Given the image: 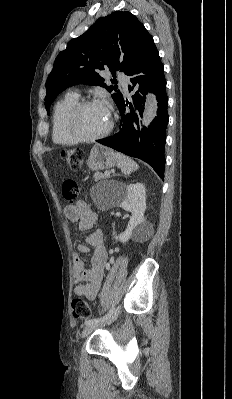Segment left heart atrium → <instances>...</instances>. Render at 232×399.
Instances as JSON below:
<instances>
[{"label": "left heart atrium", "instance_id": "obj_1", "mask_svg": "<svg viewBox=\"0 0 232 399\" xmlns=\"http://www.w3.org/2000/svg\"><path fill=\"white\" fill-rule=\"evenodd\" d=\"M106 108H107L109 115H111L110 108L108 106H106Z\"/></svg>", "mask_w": 232, "mask_h": 399}]
</instances>
